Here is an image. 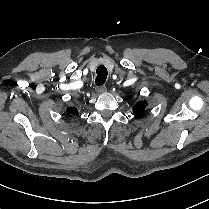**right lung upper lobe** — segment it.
<instances>
[{
    "mask_svg": "<svg viewBox=\"0 0 209 209\" xmlns=\"http://www.w3.org/2000/svg\"><path fill=\"white\" fill-rule=\"evenodd\" d=\"M68 114H76L77 110L73 107L67 109Z\"/></svg>",
    "mask_w": 209,
    "mask_h": 209,
    "instance_id": "obj_1",
    "label": "right lung upper lobe"
}]
</instances>
